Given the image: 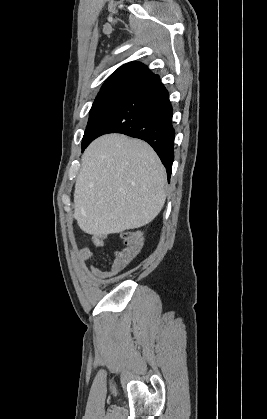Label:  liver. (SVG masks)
I'll use <instances>...</instances> for the list:
<instances>
[{"label": "liver", "mask_w": 267, "mask_h": 419, "mask_svg": "<svg viewBox=\"0 0 267 419\" xmlns=\"http://www.w3.org/2000/svg\"><path fill=\"white\" fill-rule=\"evenodd\" d=\"M166 170L149 144L107 134L85 150L74 192V218L101 236L150 223L166 200Z\"/></svg>", "instance_id": "1"}]
</instances>
